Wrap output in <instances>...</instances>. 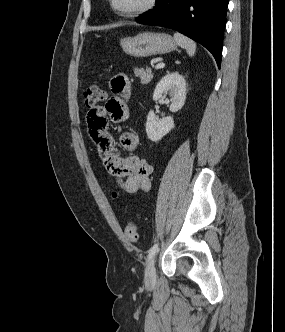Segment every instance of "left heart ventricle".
Segmentation results:
<instances>
[{
    "label": "left heart ventricle",
    "mask_w": 285,
    "mask_h": 332,
    "mask_svg": "<svg viewBox=\"0 0 285 332\" xmlns=\"http://www.w3.org/2000/svg\"><path fill=\"white\" fill-rule=\"evenodd\" d=\"M146 1L147 0H115V5L121 10H130L144 5Z\"/></svg>",
    "instance_id": "obj_1"
}]
</instances>
